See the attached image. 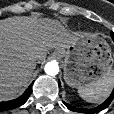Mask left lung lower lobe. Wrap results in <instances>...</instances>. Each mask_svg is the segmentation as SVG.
Returning a JSON list of instances; mask_svg holds the SVG:
<instances>
[{
  "label": "left lung lower lobe",
  "mask_w": 114,
  "mask_h": 114,
  "mask_svg": "<svg viewBox=\"0 0 114 114\" xmlns=\"http://www.w3.org/2000/svg\"><path fill=\"white\" fill-rule=\"evenodd\" d=\"M111 37H112V39L114 41V33L111 34ZM58 83L60 85V82H58ZM113 99H114V90L112 91L110 97L104 103H102L101 105H99L98 107L93 108V109H79V108L71 107L69 104H67L65 102H63V103L71 111L83 112V113H88V114H94L96 112H100V111L104 110L105 108H107L109 106V104L112 102Z\"/></svg>",
  "instance_id": "obj_1"
}]
</instances>
